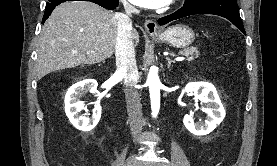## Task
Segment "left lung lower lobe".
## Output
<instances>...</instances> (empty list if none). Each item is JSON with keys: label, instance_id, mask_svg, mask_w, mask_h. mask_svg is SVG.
<instances>
[{"label": "left lung lower lobe", "instance_id": "left-lung-lower-lobe-1", "mask_svg": "<svg viewBox=\"0 0 277 166\" xmlns=\"http://www.w3.org/2000/svg\"><path fill=\"white\" fill-rule=\"evenodd\" d=\"M195 14H213L222 16L230 20L237 28L246 34L236 0H197L192 4L184 5L182 8L168 16L160 18L158 23L164 25L170 21Z\"/></svg>", "mask_w": 277, "mask_h": 166}]
</instances>
